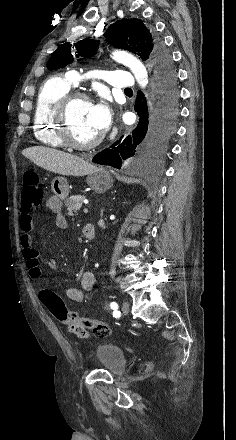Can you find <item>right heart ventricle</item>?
Masks as SVG:
<instances>
[{"label":"right heart ventricle","mask_w":236,"mask_h":440,"mask_svg":"<svg viewBox=\"0 0 236 440\" xmlns=\"http://www.w3.org/2000/svg\"><path fill=\"white\" fill-rule=\"evenodd\" d=\"M70 89L71 83L64 76H52L41 86L33 114L34 136L40 143L53 148L64 147L57 136L52 112L57 100L69 92Z\"/></svg>","instance_id":"1"}]
</instances>
